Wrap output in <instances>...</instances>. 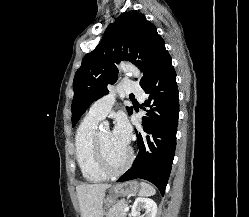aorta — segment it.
<instances>
[{
  "instance_id": "762f6f07",
  "label": "aorta",
  "mask_w": 249,
  "mask_h": 217,
  "mask_svg": "<svg viewBox=\"0 0 249 217\" xmlns=\"http://www.w3.org/2000/svg\"><path fill=\"white\" fill-rule=\"evenodd\" d=\"M118 67L124 72L131 73L135 78H139L141 76L139 69L130 63L122 62L118 65Z\"/></svg>"
}]
</instances>
